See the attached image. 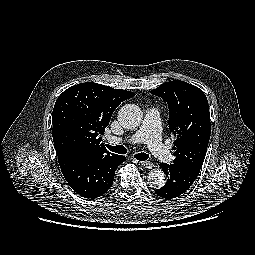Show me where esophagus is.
Segmentation results:
<instances>
[{
  "instance_id": "obj_1",
  "label": "esophagus",
  "mask_w": 255,
  "mask_h": 255,
  "mask_svg": "<svg viewBox=\"0 0 255 255\" xmlns=\"http://www.w3.org/2000/svg\"><path fill=\"white\" fill-rule=\"evenodd\" d=\"M141 165L146 169H152L154 166L153 163L150 161H142Z\"/></svg>"
}]
</instances>
